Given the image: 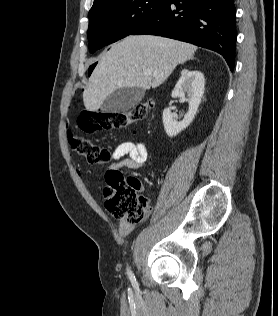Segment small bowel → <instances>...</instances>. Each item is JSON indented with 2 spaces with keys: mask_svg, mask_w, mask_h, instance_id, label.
I'll use <instances>...</instances> for the list:
<instances>
[{
  "mask_svg": "<svg viewBox=\"0 0 278 316\" xmlns=\"http://www.w3.org/2000/svg\"><path fill=\"white\" fill-rule=\"evenodd\" d=\"M149 154L144 141H126L120 143L111 153L114 161L109 166V171H119L121 168L138 169L148 162ZM119 234L127 237L133 231V225L120 221L118 225Z\"/></svg>",
  "mask_w": 278,
  "mask_h": 316,
  "instance_id": "c3829d8e",
  "label": "small bowel"
}]
</instances>
